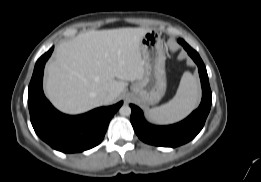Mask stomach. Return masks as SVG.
Segmentation results:
<instances>
[{"label": "stomach", "instance_id": "stomach-1", "mask_svg": "<svg viewBox=\"0 0 261 182\" xmlns=\"http://www.w3.org/2000/svg\"><path fill=\"white\" fill-rule=\"evenodd\" d=\"M140 52L144 75L131 86V92L142 105H154L161 100L167 88L166 57L157 31L150 30L142 37Z\"/></svg>", "mask_w": 261, "mask_h": 182}]
</instances>
